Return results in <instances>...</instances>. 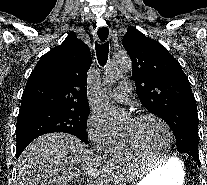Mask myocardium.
Returning <instances> with one entry per match:
<instances>
[{
	"label": "myocardium",
	"mask_w": 207,
	"mask_h": 185,
	"mask_svg": "<svg viewBox=\"0 0 207 185\" xmlns=\"http://www.w3.org/2000/svg\"><path fill=\"white\" fill-rule=\"evenodd\" d=\"M133 120L136 122H141L145 120H155L159 122L164 127L167 133L169 145H168L167 150L162 154H150V153L145 152L144 150L137 148L136 145L133 143L132 139L128 135L122 133L123 142L129 152H131L134 155L147 158V159H165L172 154V151L175 145L174 133L171 127L169 126V124L163 118L157 115H154V114H145V115L137 116Z\"/></svg>",
	"instance_id": "f54148a6"
}]
</instances>
